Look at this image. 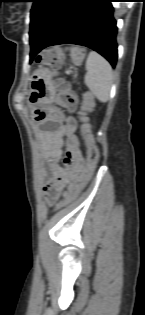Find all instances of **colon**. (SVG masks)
<instances>
[{
    "instance_id": "5ec220e1",
    "label": "colon",
    "mask_w": 145,
    "mask_h": 315,
    "mask_svg": "<svg viewBox=\"0 0 145 315\" xmlns=\"http://www.w3.org/2000/svg\"><path fill=\"white\" fill-rule=\"evenodd\" d=\"M62 50L60 48H49L44 50L38 57V61L49 67H58L62 62ZM71 60L75 64H80L84 58V51L80 48L70 49ZM77 104L76 94L69 89L65 83H60L56 96V105L63 110H74ZM93 105V100L90 96H86L83 103V111L89 110ZM84 141L87 152V164L82 177L68 188L64 194V199L60 206L67 205L77 197L81 189L90 180L92 174L97 168L99 162V150L94 142L92 135L89 133V128L86 124L82 128Z\"/></svg>"
}]
</instances>
